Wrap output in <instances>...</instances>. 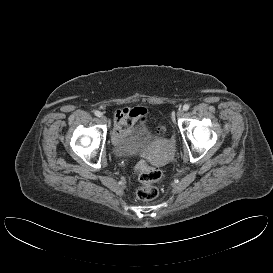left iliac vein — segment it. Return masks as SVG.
Returning a JSON list of instances; mask_svg holds the SVG:
<instances>
[{"mask_svg": "<svg viewBox=\"0 0 273 273\" xmlns=\"http://www.w3.org/2000/svg\"><path fill=\"white\" fill-rule=\"evenodd\" d=\"M184 115V110L183 109H178V111H177V117L178 118H181L182 116Z\"/></svg>", "mask_w": 273, "mask_h": 273, "instance_id": "left-iliac-vein-1", "label": "left iliac vein"}]
</instances>
